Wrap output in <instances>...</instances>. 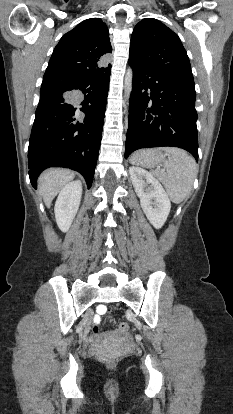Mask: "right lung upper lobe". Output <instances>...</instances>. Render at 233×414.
Segmentation results:
<instances>
[{
    "instance_id": "1",
    "label": "right lung upper lobe",
    "mask_w": 233,
    "mask_h": 414,
    "mask_svg": "<svg viewBox=\"0 0 233 414\" xmlns=\"http://www.w3.org/2000/svg\"><path fill=\"white\" fill-rule=\"evenodd\" d=\"M112 47L105 23L86 19L66 33L55 47L43 78L73 80L102 74Z\"/></svg>"
}]
</instances>
